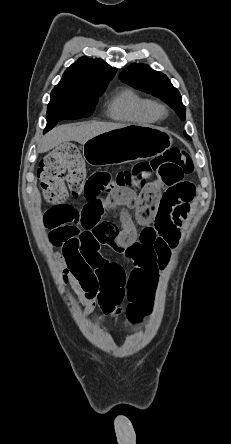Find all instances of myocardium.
<instances>
[{
    "label": "myocardium",
    "instance_id": "f54148a6",
    "mask_svg": "<svg viewBox=\"0 0 231 444\" xmlns=\"http://www.w3.org/2000/svg\"><path fill=\"white\" fill-rule=\"evenodd\" d=\"M154 111L158 117H165L168 114V107L163 103L154 104Z\"/></svg>",
    "mask_w": 231,
    "mask_h": 444
}]
</instances>
